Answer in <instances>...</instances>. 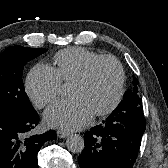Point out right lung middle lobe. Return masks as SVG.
I'll use <instances>...</instances> for the list:
<instances>
[{"label": "right lung middle lobe", "instance_id": "1", "mask_svg": "<svg viewBox=\"0 0 168 168\" xmlns=\"http://www.w3.org/2000/svg\"><path fill=\"white\" fill-rule=\"evenodd\" d=\"M47 49L12 46L0 54V109L34 111L22 82L23 67Z\"/></svg>", "mask_w": 168, "mask_h": 168}]
</instances>
